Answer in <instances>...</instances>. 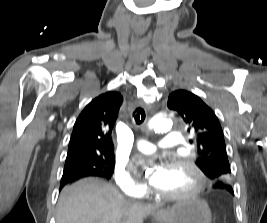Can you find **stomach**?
<instances>
[{
	"label": "stomach",
	"mask_w": 267,
	"mask_h": 223,
	"mask_svg": "<svg viewBox=\"0 0 267 223\" xmlns=\"http://www.w3.org/2000/svg\"><path fill=\"white\" fill-rule=\"evenodd\" d=\"M160 223H211V211L205 200L189 198L156 213Z\"/></svg>",
	"instance_id": "stomach-1"
}]
</instances>
